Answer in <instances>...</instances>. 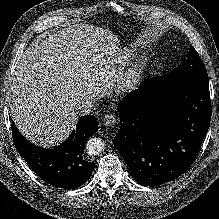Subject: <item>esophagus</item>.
Masks as SVG:
<instances>
[{
  "instance_id": "34e87169",
  "label": "esophagus",
  "mask_w": 219,
  "mask_h": 219,
  "mask_svg": "<svg viewBox=\"0 0 219 219\" xmlns=\"http://www.w3.org/2000/svg\"><path fill=\"white\" fill-rule=\"evenodd\" d=\"M117 123V119L113 114H106L102 118V124L107 127H113Z\"/></svg>"
}]
</instances>
